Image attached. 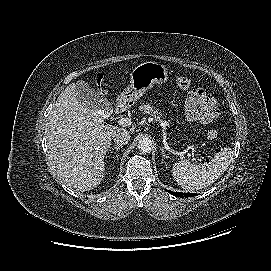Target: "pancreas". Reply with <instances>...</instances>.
<instances>
[{"mask_svg":"<svg viewBox=\"0 0 271 271\" xmlns=\"http://www.w3.org/2000/svg\"><path fill=\"white\" fill-rule=\"evenodd\" d=\"M140 110L143 111L144 113H147L151 116L154 117L156 121L159 123L163 124V126L167 125L166 121H163L162 118V113L159 110H156L155 107L151 106L150 104H143L140 107Z\"/></svg>","mask_w":271,"mask_h":271,"instance_id":"obj_1","label":"pancreas"}]
</instances>
